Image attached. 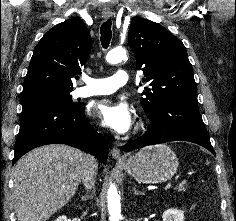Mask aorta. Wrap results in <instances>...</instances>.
I'll list each match as a JSON object with an SVG mask.
<instances>
[{"label":"aorta","instance_id":"aorta-1","mask_svg":"<svg viewBox=\"0 0 236 221\" xmlns=\"http://www.w3.org/2000/svg\"><path fill=\"white\" fill-rule=\"evenodd\" d=\"M127 58L125 49L115 48L109 51L106 61L110 64H117ZM108 211L110 221H119L121 217L120 196L115 185L111 184L107 192Z\"/></svg>","mask_w":236,"mask_h":221}]
</instances>
